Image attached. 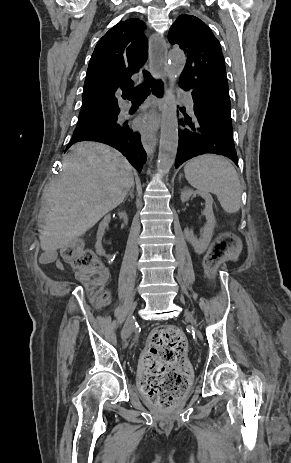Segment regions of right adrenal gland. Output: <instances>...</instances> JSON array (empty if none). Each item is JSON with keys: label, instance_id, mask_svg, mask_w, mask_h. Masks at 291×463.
Returning <instances> with one entry per match:
<instances>
[{"label": "right adrenal gland", "instance_id": "2a0ac1e0", "mask_svg": "<svg viewBox=\"0 0 291 463\" xmlns=\"http://www.w3.org/2000/svg\"><path fill=\"white\" fill-rule=\"evenodd\" d=\"M133 191H134V185L131 187L129 193L126 195L125 199L123 202H125L127 200V198L130 196L131 199L134 198V194H133Z\"/></svg>", "mask_w": 291, "mask_h": 463}]
</instances>
